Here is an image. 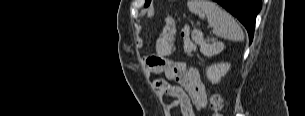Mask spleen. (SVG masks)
Listing matches in <instances>:
<instances>
[{
  "instance_id": "spleen-1",
  "label": "spleen",
  "mask_w": 305,
  "mask_h": 116,
  "mask_svg": "<svg viewBox=\"0 0 305 116\" xmlns=\"http://www.w3.org/2000/svg\"><path fill=\"white\" fill-rule=\"evenodd\" d=\"M187 5L191 12L201 19H207L215 35L234 41L244 39V33L234 18L215 3L208 0H191Z\"/></svg>"
}]
</instances>
